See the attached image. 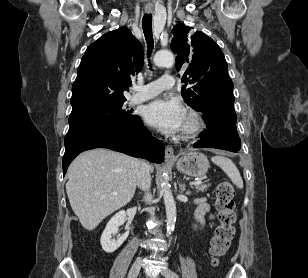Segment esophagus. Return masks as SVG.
<instances>
[{"instance_id":"obj_1","label":"esophagus","mask_w":308,"mask_h":278,"mask_svg":"<svg viewBox=\"0 0 308 278\" xmlns=\"http://www.w3.org/2000/svg\"><path fill=\"white\" fill-rule=\"evenodd\" d=\"M147 13H150V10L146 11ZM175 159V155H174V150L172 148V146L167 145L165 148V160L166 161H172Z\"/></svg>"}]
</instances>
